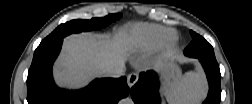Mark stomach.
I'll list each match as a JSON object with an SVG mask.
<instances>
[{
  "label": "stomach",
  "mask_w": 252,
  "mask_h": 104,
  "mask_svg": "<svg viewBox=\"0 0 252 104\" xmlns=\"http://www.w3.org/2000/svg\"><path fill=\"white\" fill-rule=\"evenodd\" d=\"M160 70L163 79V90L168 98L171 99L173 91L183 82L181 70L178 64L172 61L164 63Z\"/></svg>",
  "instance_id": "1"
}]
</instances>
